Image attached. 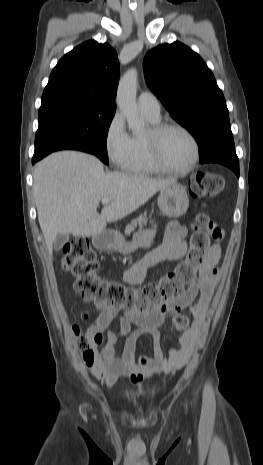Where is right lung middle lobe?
Returning a JSON list of instances; mask_svg holds the SVG:
<instances>
[{
  "label": "right lung middle lobe",
  "instance_id": "obj_1",
  "mask_svg": "<svg viewBox=\"0 0 263 465\" xmlns=\"http://www.w3.org/2000/svg\"><path fill=\"white\" fill-rule=\"evenodd\" d=\"M116 108L77 100L42 103L33 157L64 143L80 144L108 164L106 140Z\"/></svg>",
  "mask_w": 263,
  "mask_h": 465
}]
</instances>
